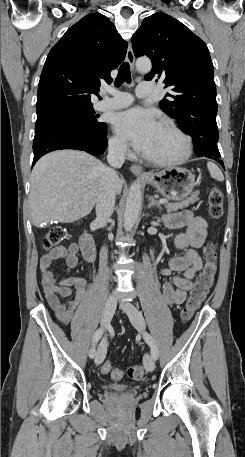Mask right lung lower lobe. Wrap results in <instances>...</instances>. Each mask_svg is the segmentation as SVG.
I'll return each instance as SVG.
<instances>
[{"label":"right lung lower lobe","instance_id":"obj_1","mask_svg":"<svg viewBox=\"0 0 245 457\" xmlns=\"http://www.w3.org/2000/svg\"><path fill=\"white\" fill-rule=\"evenodd\" d=\"M103 124L96 132L68 123L50 124L35 129L32 167L43 155L60 149L83 150L92 155H101L107 147V126Z\"/></svg>","mask_w":245,"mask_h":457}]
</instances>
